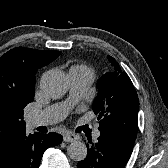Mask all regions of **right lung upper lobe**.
<instances>
[{
    "label": "right lung upper lobe",
    "instance_id": "obj_1",
    "mask_svg": "<svg viewBox=\"0 0 168 168\" xmlns=\"http://www.w3.org/2000/svg\"><path fill=\"white\" fill-rule=\"evenodd\" d=\"M60 53L16 47L0 58V150L26 130L21 111L34 92L35 74Z\"/></svg>",
    "mask_w": 168,
    "mask_h": 168
}]
</instances>
